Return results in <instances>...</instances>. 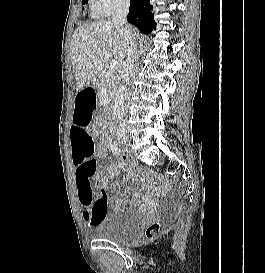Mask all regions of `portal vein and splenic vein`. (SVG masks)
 <instances>
[{"label": "portal vein and splenic vein", "mask_w": 265, "mask_h": 273, "mask_svg": "<svg viewBox=\"0 0 265 273\" xmlns=\"http://www.w3.org/2000/svg\"><path fill=\"white\" fill-rule=\"evenodd\" d=\"M120 68V62L117 60H113L109 63L108 66V74H113Z\"/></svg>", "instance_id": "18ae733b"}]
</instances>
